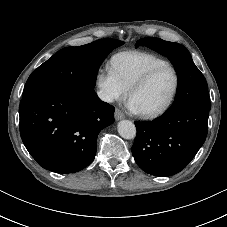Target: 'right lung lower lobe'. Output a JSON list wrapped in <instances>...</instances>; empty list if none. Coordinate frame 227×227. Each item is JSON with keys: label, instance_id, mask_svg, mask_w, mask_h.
<instances>
[{"label": "right lung lower lobe", "instance_id": "right-lung-lower-lobe-1", "mask_svg": "<svg viewBox=\"0 0 227 227\" xmlns=\"http://www.w3.org/2000/svg\"><path fill=\"white\" fill-rule=\"evenodd\" d=\"M20 135L36 162L57 173H74L95 158L100 130L114 122V107L94 90L53 88L23 97Z\"/></svg>", "mask_w": 227, "mask_h": 227}]
</instances>
